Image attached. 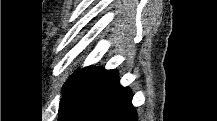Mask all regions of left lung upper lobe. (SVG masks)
Returning a JSON list of instances; mask_svg holds the SVG:
<instances>
[{
    "label": "left lung upper lobe",
    "mask_w": 217,
    "mask_h": 121,
    "mask_svg": "<svg viewBox=\"0 0 217 121\" xmlns=\"http://www.w3.org/2000/svg\"><path fill=\"white\" fill-rule=\"evenodd\" d=\"M103 68L88 66L74 72L63 88V98L60 102V121H74L85 102L86 94Z\"/></svg>",
    "instance_id": "left-lung-upper-lobe-1"
}]
</instances>
